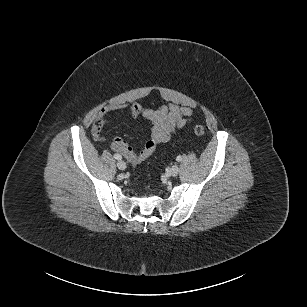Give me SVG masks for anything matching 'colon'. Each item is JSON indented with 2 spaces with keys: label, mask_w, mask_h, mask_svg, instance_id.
I'll list each match as a JSON object with an SVG mask.
<instances>
[{
  "label": "colon",
  "mask_w": 307,
  "mask_h": 307,
  "mask_svg": "<svg viewBox=\"0 0 307 307\" xmlns=\"http://www.w3.org/2000/svg\"><path fill=\"white\" fill-rule=\"evenodd\" d=\"M194 134L197 136H204L205 135V129L202 125H196L194 127ZM112 148L115 151H120L122 149H124V141L119 138V137H115L112 141Z\"/></svg>",
  "instance_id": "1"
}]
</instances>
